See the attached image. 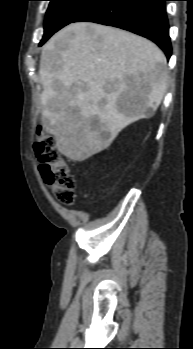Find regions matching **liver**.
Masks as SVG:
<instances>
[{"label":"liver","instance_id":"liver-1","mask_svg":"<svg viewBox=\"0 0 193 349\" xmlns=\"http://www.w3.org/2000/svg\"><path fill=\"white\" fill-rule=\"evenodd\" d=\"M42 124L58 150L84 161L129 124L150 117L167 88L164 53L114 27L71 23L42 49Z\"/></svg>","mask_w":193,"mask_h":349}]
</instances>
